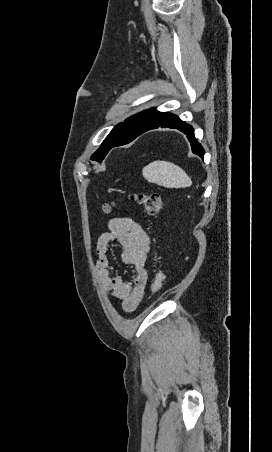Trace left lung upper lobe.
Here are the masks:
<instances>
[{"mask_svg": "<svg viewBox=\"0 0 272 452\" xmlns=\"http://www.w3.org/2000/svg\"><path fill=\"white\" fill-rule=\"evenodd\" d=\"M160 114L155 109L143 111L127 118L124 122L116 125L103 141L99 149L91 156V160L102 161L109 150L112 148L113 142L121 138H131L146 130L154 122Z\"/></svg>", "mask_w": 272, "mask_h": 452, "instance_id": "obj_1", "label": "left lung upper lobe"}]
</instances>
